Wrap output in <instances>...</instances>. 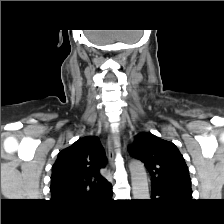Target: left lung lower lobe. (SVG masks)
Wrapping results in <instances>:
<instances>
[{
    "instance_id": "1",
    "label": "left lung lower lobe",
    "mask_w": 224,
    "mask_h": 224,
    "mask_svg": "<svg viewBox=\"0 0 224 224\" xmlns=\"http://www.w3.org/2000/svg\"><path fill=\"white\" fill-rule=\"evenodd\" d=\"M151 198L152 200L160 202H184L191 200V195L180 192L162 191L155 187H152Z\"/></svg>"
}]
</instances>
